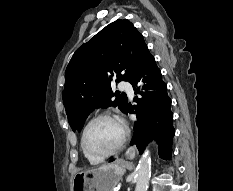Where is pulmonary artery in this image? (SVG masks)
<instances>
[{
  "mask_svg": "<svg viewBox=\"0 0 233 191\" xmlns=\"http://www.w3.org/2000/svg\"><path fill=\"white\" fill-rule=\"evenodd\" d=\"M120 87L121 89L125 90L130 97L133 96V89L130 83L123 81L120 83Z\"/></svg>",
  "mask_w": 233,
  "mask_h": 191,
  "instance_id": "1",
  "label": "pulmonary artery"
}]
</instances>
